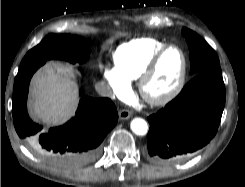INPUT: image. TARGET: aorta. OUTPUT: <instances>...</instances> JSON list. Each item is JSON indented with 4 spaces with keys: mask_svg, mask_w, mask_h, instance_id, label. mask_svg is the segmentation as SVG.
I'll return each mask as SVG.
<instances>
[{
    "mask_svg": "<svg viewBox=\"0 0 245 187\" xmlns=\"http://www.w3.org/2000/svg\"><path fill=\"white\" fill-rule=\"evenodd\" d=\"M131 130L137 135H145L148 132V125L145 120L135 118L131 122Z\"/></svg>",
    "mask_w": 245,
    "mask_h": 187,
    "instance_id": "762f6f07",
    "label": "aorta"
}]
</instances>
